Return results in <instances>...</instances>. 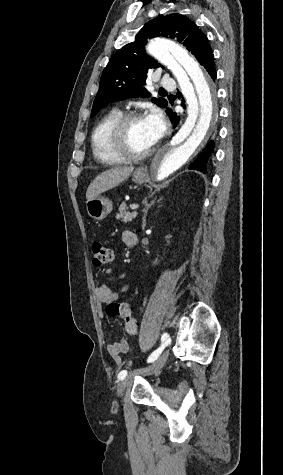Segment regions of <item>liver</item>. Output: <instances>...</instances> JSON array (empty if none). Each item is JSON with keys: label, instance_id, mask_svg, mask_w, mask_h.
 <instances>
[{"label": "liver", "instance_id": "liver-1", "mask_svg": "<svg viewBox=\"0 0 283 475\" xmlns=\"http://www.w3.org/2000/svg\"><path fill=\"white\" fill-rule=\"evenodd\" d=\"M133 166H129V168H123V166H118V168H111V170H106V172H102L100 176H97L93 182H91L87 192L86 198L87 200H93V198H98L100 194L103 192H107V190H111V188H115L124 180L129 178L131 172H133Z\"/></svg>", "mask_w": 283, "mask_h": 475}]
</instances>
